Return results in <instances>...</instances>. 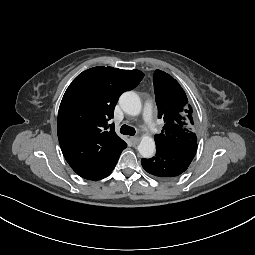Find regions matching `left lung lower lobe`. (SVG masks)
Returning a JSON list of instances; mask_svg holds the SVG:
<instances>
[{"mask_svg":"<svg viewBox=\"0 0 255 255\" xmlns=\"http://www.w3.org/2000/svg\"><path fill=\"white\" fill-rule=\"evenodd\" d=\"M156 154L150 159H142L145 171L160 179L168 180L185 172L193 160L197 144L186 147L156 148Z\"/></svg>","mask_w":255,"mask_h":255,"instance_id":"left-lung-lower-lobe-1","label":"left lung lower lobe"}]
</instances>
